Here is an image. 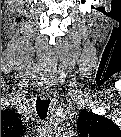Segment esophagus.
I'll use <instances>...</instances> for the list:
<instances>
[{
    "label": "esophagus",
    "instance_id": "obj_1",
    "mask_svg": "<svg viewBox=\"0 0 121 137\" xmlns=\"http://www.w3.org/2000/svg\"><path fill=\"white\" fill-rule=\"evenodd\" d=\"M50 94V89L48 87H44L41 92V97L43 99L47 98Z\"/></svg>",
    "mask_w": 121,
    "mask_h": 137
}]
</instances>
